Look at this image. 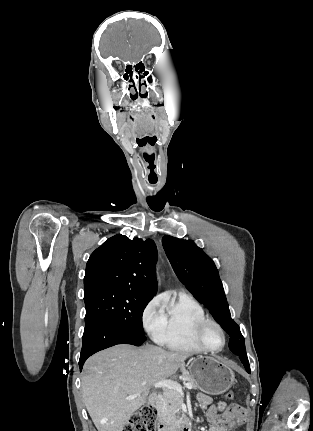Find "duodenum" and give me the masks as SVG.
I'll return each mask as SVG.
<instances>
[{"label":"duodenum","instance_id":"410a0bca","mask_svg":"<svg viewBox=\"0 0 313 431\" xmlns=\"http://www.w3.org/2000/svg\"><path fill=\"white\" fill-rule=\"evenodd\" d=\"M158 400V395L152 393L148 398V403L154 407L158 403ZM158 423L161 431H191V422L188 419L181 420L176 424H170L164 418L160 417Z\"/></svg>","mask_w":313,"mask_h":431}]
</instances>
